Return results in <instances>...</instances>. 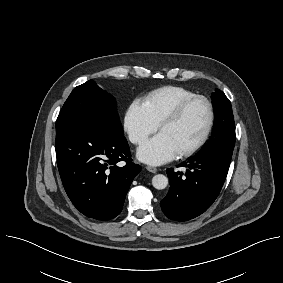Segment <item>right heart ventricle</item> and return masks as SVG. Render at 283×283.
Segmentation results:
<instances>
[{
	"mask_svg": "<svg viewBox=\"0 0 283 283\" xmlns=\"http://www.w3.org/2000/svg\"><path fill=\"white\" fill-rule=\"evenodd\" d=\"M195 93L180 86H165L144 97L143 103L150 117L159 125L183 100Z\"/></svg>",
	"mask_w": 283,
	"mask_h": 283,
	"instance_id": "right-heart-ventricle-1",
	"label": "right heart ventricle"
}]
</instances>
